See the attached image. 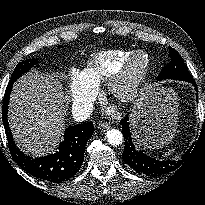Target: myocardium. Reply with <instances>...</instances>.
I'll return each mask as SVG.
<instances>
[{"mask_svg":"<svg viewBox=\"0 0 205 205\" xmlns=\"http://www.w3.org/2000/svg\"><path fill=\"white\" fill-rule=\"evenodd\" d=\"M140 57H143V62L136 66ZM149 67L148 54L142 50L134 51L107 79L108 94L119 102L134 100L143 86Z\"/></svg>","mask_w":205,"mask_h":205,"instance_id":"myocardium-1","label":"myocardium"}]
</instances>
